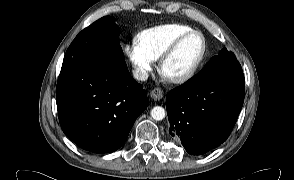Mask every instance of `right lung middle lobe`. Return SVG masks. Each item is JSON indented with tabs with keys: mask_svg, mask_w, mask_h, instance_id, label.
<instances>
[{
	"mask_svg": "<svg viewBox=\"0 0 294 180\" xmlns=\"http://www.w3.org/2000/svg\"><path fill=\"white\" fill-rule=\"evenodd\" d=\"M118 36L115 19L102 17L75 37L66 51L62 67L88 57H124Z\"/></svg>",
	"mask_w": 294,
	"mask_h": 180,
	"instance_id": "right-lung-middle-lobe-1",
	"label": "right lung middle lobe"
}]
</instances>
